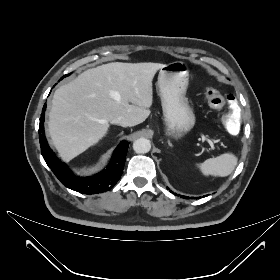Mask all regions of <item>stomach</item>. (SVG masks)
<instances>
[{
    "mask_svg": "<svg viewBox=\"0 0 280 280\" xmlns=\"http://www.w3.org/2000/svg\"><path fill=\"white\" fill-rule=\"evenodd\" d=\"M189 70L185 62L175 61L160 69L157 86L161 98L166 134L181 138L195 125V115L186 92Z\"/></svg>",
    "mask_w": 280,
    "mask_h": 280,
    "instance_id": "obj_1",
    "label": "stomach"
}]
</instances>
